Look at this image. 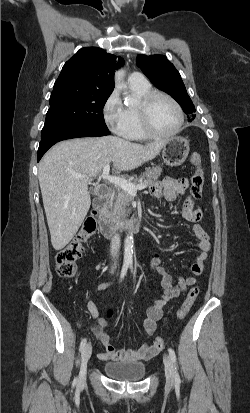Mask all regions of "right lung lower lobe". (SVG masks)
I'll return each instance as SVG.
<instances>
[{
    "mask_svg": "<svg viewBox=\"0 0 250 413\" xmlns=\"http://www.w3.org/2000/svg\"><path fill=\"white\" fill-rule=\"evenodd\" d=\"M110 131L90 127H73L61 130L47 138L41 139L39 144L37 161H39L44 153L55 143L78 137H95L109 135Z\"/></svg>",
    "mask_w": 250,
    "mask_h": 413,
    "instance_id": "obj_1",
    "label": "right lung lower lobe"
}]
</instances>
